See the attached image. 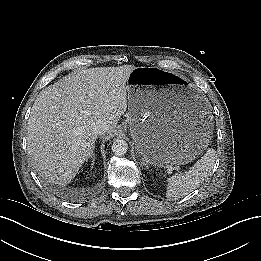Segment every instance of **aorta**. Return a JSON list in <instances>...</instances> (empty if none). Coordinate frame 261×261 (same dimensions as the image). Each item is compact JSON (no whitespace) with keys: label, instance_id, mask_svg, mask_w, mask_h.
<instances>
[{"label":"aorta","instance_id":"aorta-1","mask_svg":"<svg viewBox=\"0 0 261 261\" xmlns=\"http://www.w3.org/2000/svg\"><path fill=\"white\" fill-rule=\"evenodd\" d=\"M111 149L116 156H122L127 153L128 143L123 139H116Z\"/></svg>","mask_w":261,"mask_h":261}]
</instances>
